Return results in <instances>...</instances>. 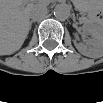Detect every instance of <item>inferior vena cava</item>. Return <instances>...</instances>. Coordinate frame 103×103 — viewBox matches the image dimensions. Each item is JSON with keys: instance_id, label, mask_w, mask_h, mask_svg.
Segmentation results:
<instances>
[{"instance_id": "inferior-vena-cava-1", "label": "inferior vena cava", "mask_w": 103, "mask_h": 103, "mask_svg": "<svg viewBox=\"0 0 103 103\" xmlns=\"http://www.w3.org/2000/svg\"><path fill=\"white\" fill-rule=\"evenodd\" d=\"M45 13H46L45 6L36 7L33 10H31L30 17L33 20L41 19L45 15Z\"/></svg>"}]
</instances>
